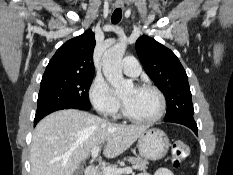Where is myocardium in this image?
<instances>
[{
  "label": "myocardium",
  "instance_id": "obj_1",
  "mask_svg": "<svg viewBox=\"0 0 233 175\" xmlns=\"http://www.w3.org/2000/svg\"><path fill=\"white\" fill-rule=\"evenodd\" d=\"M136 88L147 89V90L153 91L156 94V96L158 97L159 109H158L157 113L150 118H137L129 113V111L125 105V102L121 99V108H122L123 116L127 120H129L130 122L136 123V124H152V123L160 120L164 116V114L166 112V107H167L166 98H165L163 92L157 86L149 84V83H143V84L137 85Z\"/></svg>",
  "mask_w": 233,
  "mask_h": 175
}]
</instances>
